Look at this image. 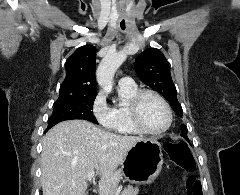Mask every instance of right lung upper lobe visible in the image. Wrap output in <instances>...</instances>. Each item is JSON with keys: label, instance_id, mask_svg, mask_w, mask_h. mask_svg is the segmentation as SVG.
<instances>
[{"label": "right lung upper lobe", "instance_id": "right-lung-upper-lobe-1", "mask_svg": "<svg viewBox=\"0 0 240 195\" xmlns=\"http://www.w3.org/2000/svg\"><path fill=\"white\" fill-rule=\"evenodd\" d=\"M96 48L85 45L76 50L65 64L66 78L61 84L59 97L96 96Z\"/></svg>", "mask_w": 240, "mask_h": 195}]
</instances>
